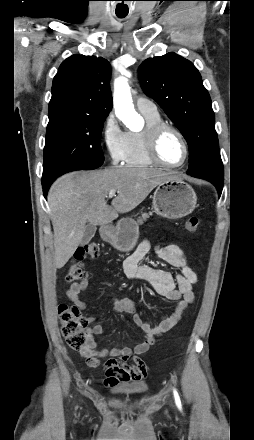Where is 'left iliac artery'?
I'll use <instances>...</instances> for the list:
<instances>
[{
  "mask_svg": "<svg viewBox=\"0 0 254 440\" xmlns=\"http://www.w3.org/2000/svg\"><path fill=\"white\" fill-rule=\"evenodd\" d=\"M173 394H174V398H175V403H176L177 407L181 410L182 405H181L179 394L176 389H173Z\"/></svg>",
  "mask_w": 254,
  "mask_h": 440,
  "instance_id": "left-iliac-artery-1",
  "label": "left iliac artery"
}]
</instances>
